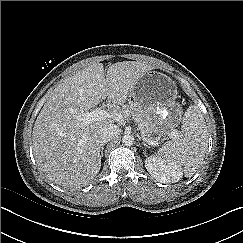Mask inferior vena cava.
<instances>
[{
  "label": "inferior vena cava",
  "instance_id": "602c4592",
  "mask_svg": "<svg viewBox=\"0 0 243 243\" xmlns=\"http://www.w3.org/2000/svg\"><path fill=\"white\" fill-rule=\"evenodd\" d=\"M120 132L118 126L114 124H109L101 129L100 139L102 143H107L112 140L115 136H117Z\"/></svg>",
  "mask_w": 243,
  "mask_h": 243
}]
</instances>
